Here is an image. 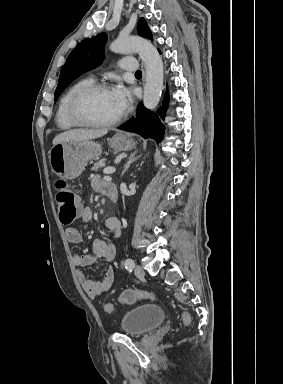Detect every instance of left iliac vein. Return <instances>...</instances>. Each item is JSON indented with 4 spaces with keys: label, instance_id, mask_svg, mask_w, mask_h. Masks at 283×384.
<instances>
[{
    "label": "left iliac vein",
    "instance_id": "1",
    "mask_svg": "<svg viewBox=\"0 0 283 384\" xmlns=\"http://www.w3.org/2000/svg\"><path fill=\"white\" fill-rule=\"evenodd\" d=\"M135 275L137 278L142 279L145 276V272L140 265L135 267Z\"/></svg>",
    "mask_w": 283,
    "mask_h": 384
}]
</instances>
